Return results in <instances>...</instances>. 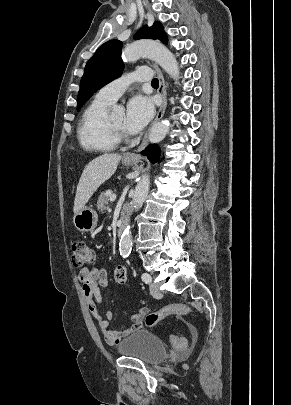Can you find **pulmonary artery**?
<instances>
[{
  "mask_svg": "<svg viewBox=\"0 0 291 405\" xmlns=\"http://www.w3.org/2000/svg\"><path fill=\"white\" fill-rule=\"evenodd\" d=\"M153 78L151 69L143 67L127 73L102 87L96 97L109 103L115 102L133 82H146Z\"/></svg>",
  "mask_w": 291,
  "mask_h": 405,
  "instance_id": "obj_1",
  "label": "pulmonary artery"
}]
</instances>
